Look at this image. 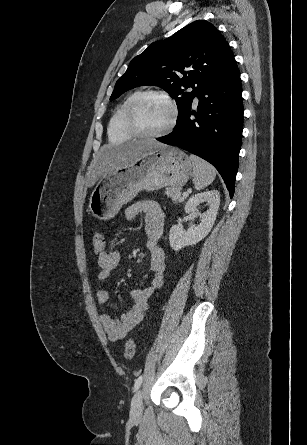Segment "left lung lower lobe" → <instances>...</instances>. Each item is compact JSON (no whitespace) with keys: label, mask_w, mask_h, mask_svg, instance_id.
<instances>
[{"label":"left lung lower lobe","mask_w":307,"mask_h":445,"mask_svg":"<svg viewBox=\"0 0 307 445\" xmlns=\"http://www.w3.org/2000/svg\"><path fill=\"white\" fill-rule=\"evenodd\" d=\"M197 97V113L190 109L172 133L157 140L178 146L210 162L221 174L232 198L244 111L240 72L234 57ZM191 115H195L196 119L191 120Z\"/></svg>","instance_id":"1"}]
</instances>
